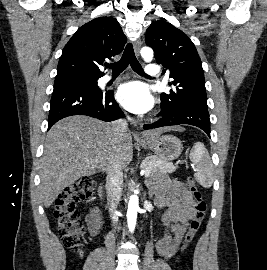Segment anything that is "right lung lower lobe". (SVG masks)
Returning <instances> with one entry per match:
<instances>
[{"label":"right lung lower lobe","mask_w":267,"mask_h":270,"mask_svg":"<svg viewBox=\"0 0 267 270\" xmlns=\"http://www.w3.org/2000/svg\"><path fill=\"white\" fill-rule=\"evenodd\" d=\"M87 115L110 122L124 117L113 98V90L82 87L54 88L48 117V130L60 119Z\"/></svg>","instance_id":"1"}]
</instances>
